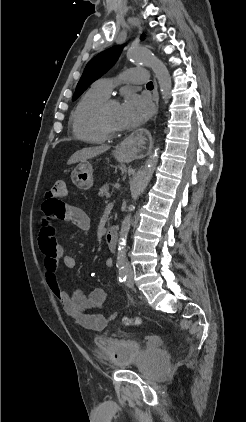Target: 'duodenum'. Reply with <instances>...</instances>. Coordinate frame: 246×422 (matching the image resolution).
<instances>
[{
    "label": "duodenum",
    "mask_w": 246,
    "mask_h": 422,
    "mask_svg": "<svg viewBox=\"0 0 246 422\" xmlns=\"http://www.w3.org/2000/svg\"><path fill=\"white\" fill-rule=\"evenodd\" d=\"M105 241L110 251L116 252L117 241H118V231L115 227H111L108 229L105 236Z\"/></svg>",
    "instance_id": "duodenum-1"
}]
</instances>
